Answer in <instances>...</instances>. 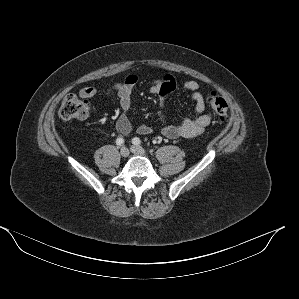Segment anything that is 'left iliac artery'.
Returning a JSON list of instances; mask_svg holds the SVG:
<instances>
[{
  "label": "left iliac artery",
  "mask_w": 299,
  "mask_h": 299,
  "mask_svg": "<svg viewBox=\"0 0 299 299\" xmlns=\"http://www.w3.org/2000/svg\"><path fill=\"white\" fill-rule=\"evenodd\" d=\"M132 143H133L134 145H139V144H141V140H140V138H138V137H134V138L132 139Z\"/></svg>",
  "instance_id": "left-iliac-artery-1"
}]
</instances>
